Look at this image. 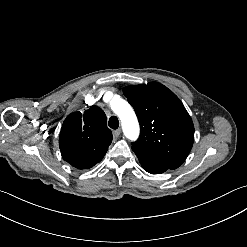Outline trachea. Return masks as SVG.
Segmentation results:
<instances>
[{"mask_svg":"<svg viewBox=\"0 0 247 247\" xmlns=\"http://www.w3.org/2000/svg\"><path fill=\"white\" fill-rule=\"evenodd\" d=\"M108 124L112 129H117L119 127V120L117 119V117L112 116L110 117Z\"/></svg>","mask_w":247,"mask_h":247,"instance_id":"1","label":"trachea"}]
</instances>
